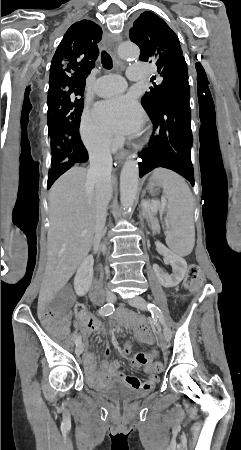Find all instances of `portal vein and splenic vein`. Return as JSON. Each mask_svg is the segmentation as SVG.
<instances>
[{
	"mask_svg": "<svg viewBox=\"0 0 241 450\" xmlns=\"http://www.w3.org/2000/svg\"><path fill=\"white\" fill-rule=\"evenodd\" d=\"M160 208V209H159ZM159 209L160 213L164 212L166 209V204L164 202H151V204H144V213H157ZM86 232H82L81 236H85Z\"/></svg>",
	"mask_w": 241,
	"mask_h": 450,
	"instance_id": "18ae733b",
	"label": "portal vein and splenic vein"
}]
</instances>
